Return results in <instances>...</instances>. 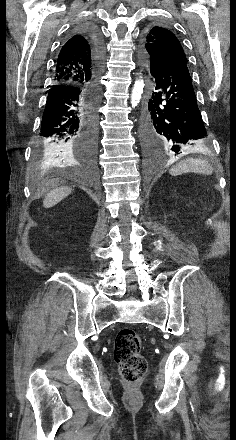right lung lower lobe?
<instances>
[{"label": "right lung lower lobe", "mask_w": 236, "mask_h": 440, "mask_svg": "<svg viewBox=\"0 0 236 440\" xmlns=\"http://www.w3.org/2000/svg\"><path fill=\"white\" fill-rule=\"evenodd\" d=\"M77 33L84 35L90 45L94 77L87 85L60 84L48 91L42 123L41 140L38 151H43L50 159H60L92 167L97 152L98 117L100 101V76L103 71L105 45L99 31L92 25L81 26ZM73 143L74 158L67 153Z\"/></svg>", "instance_id": "right-lung-lower-lobe-1"}]
</instances>
